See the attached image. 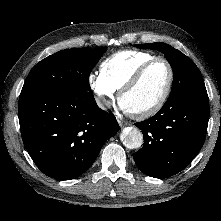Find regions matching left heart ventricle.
<instances>
[{
    "instance_id": "1",
    "label": "left heart ventricle",
    "mask_w": 221,
    "mask_h": 221,
    "mask_svg": "<svg viewBox=\"0 0 221 221\" xmlns=\"http://www.w3.org/2000/svg\"><path fill=\"white\" fill-rule=\"evenodd\" d=\"M169 72L164 63L152 65L137 85L121 99L129 112L149 108L162 96L168 82Z\"/></svg>"
}]
</instances>
